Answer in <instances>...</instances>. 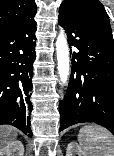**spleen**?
Returning a JSON list of instances; mask_svg holds the SVG:
<instances>
[{"label": "spleen", "mask_w": 114, "mask_h": 156, "mask_svg": "<svg viewBox=\"0 0 114 156\" xmlns=\"http://www.w3.org/2000/svg\"><path fill=\"white\" fill-rule=\"evenodd\" d=\"M78 141L86 156H114V137L104 127L95 124L83 126Z\"/></svg>", "instance_id": "spleen-1"}]
</instances>
